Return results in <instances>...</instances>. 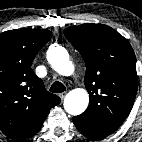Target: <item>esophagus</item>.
I'll list each match as a JSON object with an SVG mask.
<instances>
[{
    "label": "esophagus",
    "instance_id": "34e87169",
    "mask_svg": "<svg viewBox=\"0 0 142 142\" xmlns=\"http://www.w3.org/2000/svg\"><path fill=\"white\" fill-rule=\"evenodd\" d=\"M66 92L60 93L59 97L61 100H63L65 98Z\"/></svg>",
    "mask_w": 142,
    "mask_h": 142
}]
</instances>
